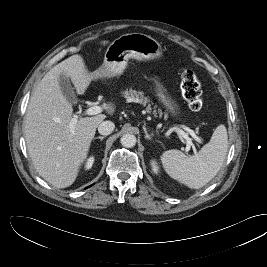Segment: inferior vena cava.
I'll list each match as a JSON object with an SVG mask.
<instances>
[{"instance_id": "602c4592", "label": "inferior vena cava", "mask_w": 267, "mask_h": 267, "mask_svg": "<svg viewBox=\"0 0 267 267\" xmlns=\"http://www.w3.org/2000/svg\"><path fill=\"white\" fill-rule=\"evenodd\" d=\"M115 125L111 121H103L98 126V132L101 135H109L113 132Z\"/></svg>"}]
</instances>
